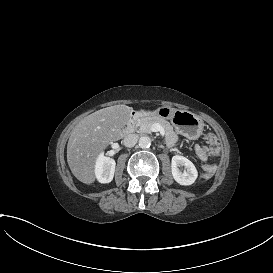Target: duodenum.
<instances>
[{
    "instance_id": "1",
    "label": "duodenum",
    "mask_w": 273,
    "mask_h": 273,
    "mask_svg": "<svg viewBox=\"0 0 273 273\" xmlns=\"http://www.w3.org/2000/svg\"><path fill=\"white\" fill-rule=\"evenodd\" d=\"M144 114H145V112L140 111V110L133 111L128 122H127L126 127L123 130V134L128 135V134L132 133L134 130L137 119L139 117L143 116Z\"/></svg>"
}]
</instances>
